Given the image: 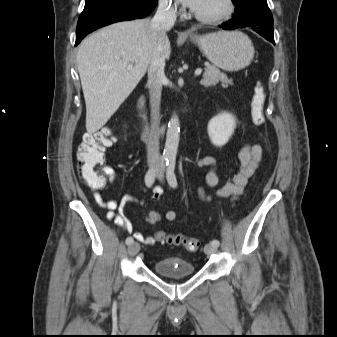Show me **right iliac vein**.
<instances>
[{
    "label": "right iliac vein",
    "instance_id": "1",
    "mask_svg": "<svg viewBox=\"0 0 337 337\" xmlns=\"http://www.w3.org/2000/svg\"><path fill=\"white\" fill-rule=\"evenodd\" d=\"M139 250H140V246L136 242H133L128 247V253H129L130 256L136 255L139 252Z\"/></svg>",
    "mask_w": 337,
    "mask_h": 337
}]
</instances>
